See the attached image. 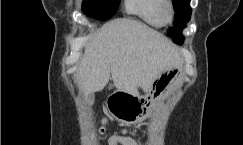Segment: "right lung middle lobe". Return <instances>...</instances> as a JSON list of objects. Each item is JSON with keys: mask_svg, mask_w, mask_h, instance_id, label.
<instances>
[{"mask_svg": "<svg viewBox=\"0 0 243 145\" xmlns=\"http://www.w3.org/2000/svg\"><path fill=\"white\" fill-rule=\"evenodd\" d=\"M119 3L120 0H84L82 11L89 17L107 20L115 14Z\"/></svg>", "mask_w": 243, "mask_h": 145, "instance_id": "dd1d6c3e", "label": "right lung middle lobe"}]
</instances>
